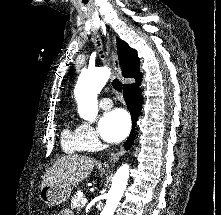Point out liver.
Wrapping results in <instances>:
<instances>
[{"mask_svg": "<svg viewBox=\"0 0 221 215\" xmlns=\"http://www.w3.org/2000/svg\"><path fill=\"white\" fill-rule=\"evenodd\" d=\"M95 166V159L88 156L67 155L57 159L42 179L41 189L54 184L71 187L86 179Z\"/></svg>", "mask_w": 221, "mask_h": 215, "instance_id": "obj_1", "label": "liver"}]
</instances>
